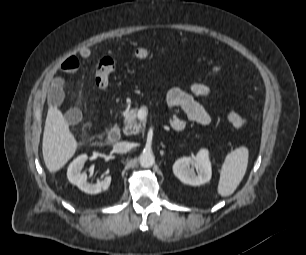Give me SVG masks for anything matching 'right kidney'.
Segmentation results:
<instances>
[{
    "label": "right kidney",
    "mask_w": 306,
    "mask_h": 255,
    "mask_svg": "<svg viewBox=\"0 0 306 255\" xmlns=\"http://www.w3.org/2000/svg\"><path fill=\"white\" fill-rule=\"evenodd\" d=\"M87 159L88 156L82 154L71 162L67 170L68 180L85 193L97 194L107 190L111 183V176H106L104 180L93 184L87 181V174L81 172Z\"/></svg>",
    "instance_id": "right-kidney-1"
}]
</instances>
